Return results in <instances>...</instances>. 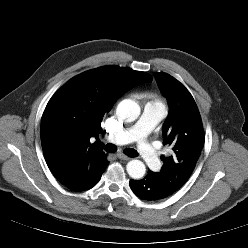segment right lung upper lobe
Here are the masks:
<instances>
[{"label":"right lung upper lobe","instance_id":"cb5924a9","mask_svg":"<svg viewBox=\"0 0 248 248\" xmlns=\"http://www.w3.org/2000/svg\"><path fill=\"white\" fill-rule=\"evenodd\" d=\"M150 81L145 72L104 66L75 76L54 94L42 116L41 143L60 183L72 187L85 172L103 165L106 154L90 138L102 132L101 121L118 98Z\"/></svg>","mask_w":248,"mask_h":248}]
</instances>
